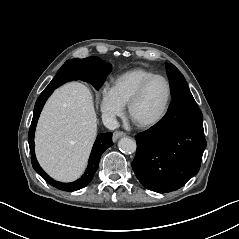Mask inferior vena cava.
Listing matches in <instances>:
<instances>
[{"mask_svg":"<svg viewBox=\"0 0 239 239\" xmlns=\"http://www.w3.org/2000/svg\"><path fill=\"white\" fill-rule=\"evenodd\" d=\"M102 121L104 126L107 127L109 130H115L119 128V123L114 116L103 115Z\"/></svg>","mask_w":239,"mask_h":239,"instance_id":"inferior-vena-cava-1","label":"inferior vena cava"}]
</instances>
